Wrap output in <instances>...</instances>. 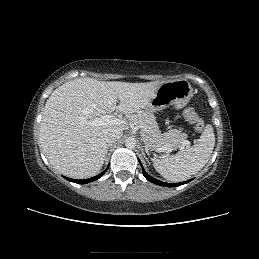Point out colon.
Wrapping results in <instances>:
<instances>
[{
	"label": "colon",
	"instance_id": "obj_1",
	"mask_svg": "<svg viewBox=\"0 0 259 259\" xmlns=\"http://www.w3.org/2000/svg\"><path fill=\"white\" fill-rule=\"evenodd\" d=\"M185 118L191 122L197 131H202L204 129V122L197 115L196 111L192 107H188L184 111Z\"/></svg>",
	"mask_w": 259,
	"mask_h": 259
}]
</instances>
